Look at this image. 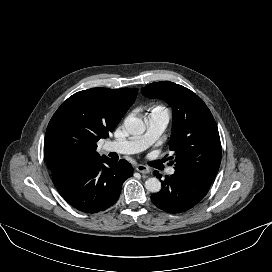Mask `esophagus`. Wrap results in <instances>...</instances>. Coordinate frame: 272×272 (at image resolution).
<instances>
[{
    "instance_id": "1",
    "label": "esophagus",
    "mask_w": 272,
    "mask_h": 272,
    "mask_svg": "<svg viewBox=\"0 0 272 272\" xmlns=\"http://www.w3.org/2000/svg\"><path fill=\"white\" fill-rule=\"evenodd\" d=\"M135 170L139 173H142V174H147L150 172L149 168L147 166H144V165H141V164H138L135 166Z\"/></svg>"
}]
</instances>
